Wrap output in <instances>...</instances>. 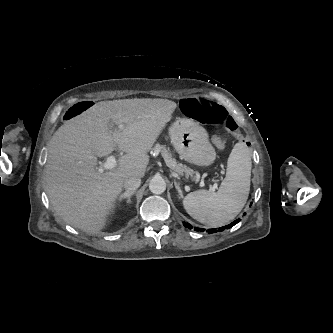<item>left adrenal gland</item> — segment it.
I'll return each mask as SVG.
<instances>
[{"label": "left adrenal gland", "instance_id": "obj_1", "mask_svg": "<svg viewBox=\"0 0 333 333\" xmlns=\"http://www.w3.org/2000/svg\"><path fill=\"white\" fill-rule=\"evenodd\" d=\"M174 184H175V188L177 189L180 197H182L183 195H182V191H181V188H180V184L177 183V182H174Z\"/></svg>", "mask_w": 333, "mask_h": 333}]
</instances>
